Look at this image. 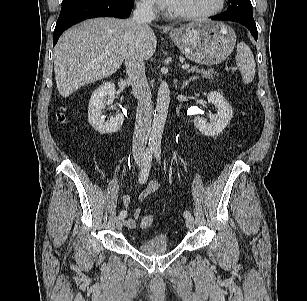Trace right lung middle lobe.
I'll list each match as a JSON object with an SVG mask.
<instances>
[{
    "mask_svg": "<svg viewBox=\"0 0 307 301\" xmlns=\"http://www.w3.org/2000/svg\"><path fill=\"white\" fill-rule=\"evenodd\" d=\"M77 1H80V0H63V1H62V6H63V5H67V4L74 3V2H77Z\"/></svg>",
    "mask_w": 307,
    "mask_h": 301,
    "instance_id": "obj_1",
    "label": "right lung middle lobe"
}]
</instances>
